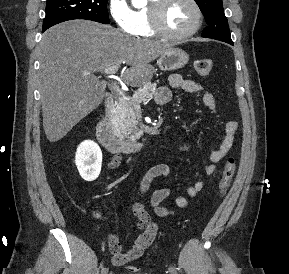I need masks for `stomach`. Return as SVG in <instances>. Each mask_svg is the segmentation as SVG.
I'll list each match as a JSON object with an SVG mask.
<instances>
[{
	"label": "stomach",
	"mask_w": 289,
	"mask_h": 274,
	"mask_svg": "<svg viewBox=\"0 0 289 274\" xmlns=\"http://www.w3.org/2000/svg\"><path fill=\"white\" fill-rule=\"evenodd\" d=\"M188 60L189 56L185 51L172 48L159 57L157 65L162 71H171L184 67L188 63Z\"/></svg>",
	"instance_id": "obj_1"
}]
</instances>
